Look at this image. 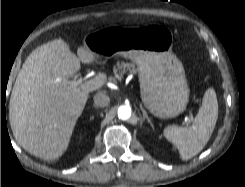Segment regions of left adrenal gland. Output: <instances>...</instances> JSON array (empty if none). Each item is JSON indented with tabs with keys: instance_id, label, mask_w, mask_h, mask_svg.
<instances>
[{
	"instance_id": "left-adrenal-gland-1",
	"label": "left adrenal gland",
	"mask_w": 245,
	"mask_h": 187,
	"mask_svg": "<svg viewBox=\"0 0 245 187\" xmlns=\"http://www.w3.org/2000/svg\"><path fill=\"white\" fill-rule=\"evenodd\" d=\"M140 109L143 112V118L147 120V122L151 125V127L153 128V124L150 120V118L148 117L147 112L144 110V108L142 107V105H140Z\"/></svg>"
}]
</instances>
